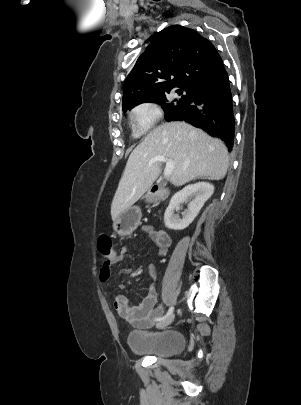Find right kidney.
<instances>
[{"label": "right kidney", "instance_id": "ca27d5eb", "mask_svg": "<svg viewBox=\"0 0 301 405\" xmlns=\"http://www.w3.org/2000/svg\"><path fill=\"white\" fill-rule=\"evenodd\" d=\"M214 186L208 182H198L188 185L183 190L174 194L165 211L164 223L172 230H183L187 228L198 215L204 203L212 196ZM188 202V209L183 212V218L175 215L184 202Z\"/></svg>", "mask_w": 301, "mask_h": 405}]
</instances>
